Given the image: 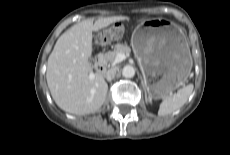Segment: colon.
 Here are the masks:
<instances>
[{
    "mask_svg": "<svg viewBox=\"0 0 230 155\" xmlns=\"http://www.w3.org/2000/svg\"><path fill=\"white\" fill-rule=\"evenodd\" d=\"M125 25L122 22H115L108 27V33L104 32L99 35L98 42L102 45H107L110 40L117 41L124 37Z\"/></svg>",
    "mask_w": 230,
    "mask_h": 155,
    "instance_id": "5ec220e1",
    "label": "colon"
}]
</instances>
